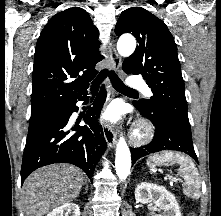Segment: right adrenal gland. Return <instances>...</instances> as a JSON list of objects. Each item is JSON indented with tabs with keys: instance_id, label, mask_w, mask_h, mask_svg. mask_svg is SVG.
Masks as SVG:
<instances>
[{
	"instance_id": "1",
	"label": "right adrenal gland",
	"mask_w": 221,
	"mask_h": 216,
	"mask_svg": "<svg viewBox=\"0 0 221 216\" xmlns=\"http://www.w3.org/2000/svg\"><path fill=\"white\" fill-rule=\"evenodd\" d=\"M84 185L86 186V191H88V185H87L86 181H85Z\"/></svg>"
}]
</instances>
